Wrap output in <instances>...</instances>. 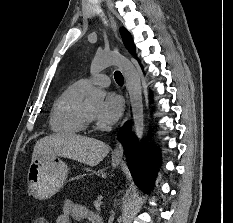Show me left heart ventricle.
Returning a JSON list of instances; mask_svg holds the SVG:
<instances>
[{
	"mask_svg": "<svg viewBox=\"0 0 233 223\" xmlns=\"http://www.w3.org/2000/svg\"><path fill=\"white\" fill-rule=\"evenodd\" d=\"M99 107H100V103H92L87 105L88 110L94 117L96 116Z\"/></svg>",
	"mask_w": 233,
	"mask_h": 223,
	"instance_id": "obj_1",
	"label": "left heart ventricle"
}]
</instances>
